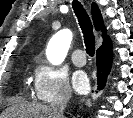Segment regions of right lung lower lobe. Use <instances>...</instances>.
Listing matches in <instances>:
<instances>
[{
  "instance_id": "obj_1",
  "label": "right lung lower lobe",
  "mask_w": 133,
  "mask_h": 118,
  "mask_svg": "<svg viewBox=\"0 0 133 118\" xmlns=\"http://www.w3.org/2000/svg\"><path fill=\"white\" fill-rule=\"evenodd\" d=\"M112 63L111 41L101 45L97 50V89L104 87Z\"/></svg>"
}]
</instances>
